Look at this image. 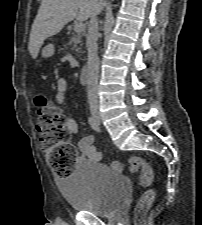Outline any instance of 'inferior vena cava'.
<instances>
[{"instance_id": "1", "label": "inferior vena cava", "mask_w": 202, "mask_h": 225, "mask_svg": "<svg viewBox=\"0 0 202 225\" xmlns=\"http://www.w3.org/2000/svg\"><path fill=\"white\" fill-rule=\"evenodd\" d=\"M98 13H95L88 25V35L86 46L88 50V103L91 109H97L99 107L98 101V78H99V57H98V46H97V35H98Z\"/></svg>"}]
</instances>
